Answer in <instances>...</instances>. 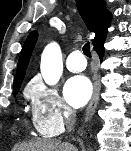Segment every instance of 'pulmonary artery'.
<instances>
[{"label":"pulmonary artery","instance_id":"e3ab8cb5","mask_svg":"<svg viewBox=\"0 0 131 151\" xmlns=\"http://www.w3.org/2000/svg\"><path fill=\"white\" fill-rule=\"evenodd\" d=\"M66 67L71 72H81L86 68V60L81 51L71 52L66 59Z\"/></svg>","mask_w":131,"mask_h":151}]
</instances>
